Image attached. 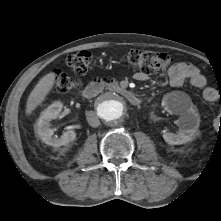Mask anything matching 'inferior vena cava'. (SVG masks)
I'll return each instance as SVG.
<instances>
[{"instance_id":"inferior-vena-cava-1","label":"inferior vena cava","mask_w":221,"mask_h":221,"mask_svg":"<svg viewBox=\"0 0 221 221\" xmlns=\"http://www.w3.org/2000/svg\"><path fill=\"white\" fill-rule=\"evenodd\" d=\"M87 121H88L89 125L92 127H98L100 125V120L94 112H90L87 115Z\"/></svg>"}]
</instances>
